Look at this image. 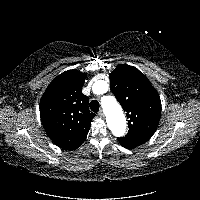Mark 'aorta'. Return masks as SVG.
Wrapping results in <instances>:
<instances>
[{
	"mask_svg": "<svg viewBox=\"0 0 200 200\" xmlns=\"http://www.w3.org/2000/svg\"><path fill=\"white\" fill-rule=\"evenodd\" d=\"M101 82L93 85V91L98 94ZM108 127L116 136H123L126 131V119L121 106L113 96H105L101 100Z\"/></svg>",
	"mask_w": 200,
	"mask_h": 200,
	"instance_id": "1",
	"label": "aorta"
}]
</instances>
